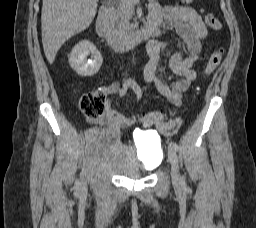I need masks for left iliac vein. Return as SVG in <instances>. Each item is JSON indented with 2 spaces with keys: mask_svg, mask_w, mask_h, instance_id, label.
Instances as JSON below:
<instances>
[{
  "mask_svg": "<svg viewBox=\"0 0 256 228\" xmlns=\"http://www.w3.org/2000/svg\"><path fill=\"white\" fill-rule=\"evenodd\" d=\"M168 160L171 164V176L172 182L175 186H179L181 184V176L179 173L178 167V157L176 151L172 147H168Z\"/></svg>",
  "mask_w": 256,
  "mask_h": 228,
  "instance_id": "1",
  "label": "left iliac vein"
}]
</instances>
